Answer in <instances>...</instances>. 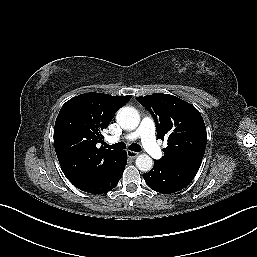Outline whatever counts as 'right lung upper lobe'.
<instances>
[{
  "label": "right lung upper lobe",
  "instance_id": "obj_1",
  "mask_svg": "<svg viewBox=\"0 0 257 257\" xmlns=\"http://www.w3.org/2000/svg\"><path fill=\"white\" fill-rule=\"evenodd\" d=\"M131 96L85 93L67 101L61 108L54 127V146L60 166L71 181L85 180L98 175L110 165L119 151L96 144L104 138L118 109Z\"/></svg>",
  "mask_w": 257,
  "mask_h": 257
}]
</instances>
